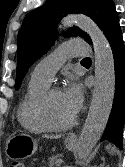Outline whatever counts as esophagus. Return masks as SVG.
<instances>
[{
	"label": "esophagus",
	"instance_id": "34e87169",
	"mask_svg": "<svg viewBox=\"0 0 125 167\" xmlns=\"http://www.w3.org/2000/svg\"><path fill=\"white\" fill-rule=\"evenodd\" d=\"M75 138H76V137H75L74 134H69L68 137H67V139H69V140H73V139H75Z\"/></svg>",
	"mask_w": 125,
	"mask_h": 167
}]
</instances>
